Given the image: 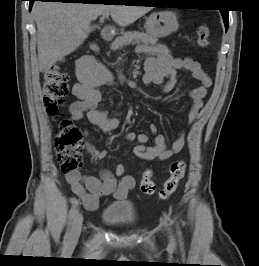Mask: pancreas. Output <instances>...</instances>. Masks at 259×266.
<instances>
[{
    "instance_id": "1",
    "label": "pancreas",
    "mask_w": 259,
    "mask_h": 266,
    "mask_svg": "<svg viewBox=\"0 0 259 266\" xmlns=\"http://www.w3.org/2000/svg\"><path fill=\"white\" fill-rule=\"evenodd\" d=\"M157 43V39L152 36L137 32V31H129L123 33L122 36L117 37L111 44V50H117L126 45H141L144 50H152L154 49Z\"/></svg>"
}]
</instances>
